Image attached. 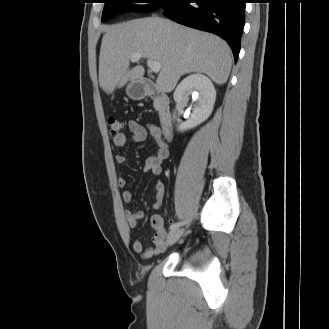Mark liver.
Masks as SVG:
<instances>
[{
  "label": "liver",
  "mask_w": 329,
  "mask_h": 329,
  "mask_svg": "<svg viewBox=\"0 0 329 329\" xmlns=\"http://www.w3.org/2000/svg\"><path fill=\"white\" fill-rule=\"evenodd\" d=\"M135 53L161 64L156 86L163 92L172 91L182 75L193 72L204 73L222 85L232 66L228 44L215 35L159 17L134 19L105 29L99 84L107 94L128 81L143 79V66L129 69Z\"/></svg>",
  "instance_id": "obj_1"
}]
</instances>
